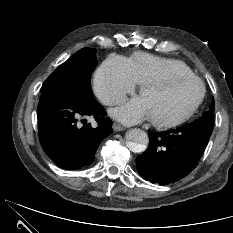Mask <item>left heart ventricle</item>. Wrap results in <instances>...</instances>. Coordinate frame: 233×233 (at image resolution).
Wrapping results in <instances>:
<instances>
[{"label": "left heart ventricle", "mask_w": 233, "mask_h": 233, "mask_svg": "<svg viewBox=\"0 0 233 233\" xmlns=\"http://www.w3.org/2000/svg\"><path fill=\"white\" fill-rule=\"evenodd\" d=\"M200 87L194 80H184L145 90L142 99L150 119L167 122L187 113L196 102Z\"/></svg>", "instance_id": "1"}]
</instances>
